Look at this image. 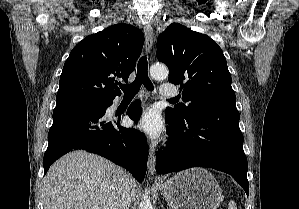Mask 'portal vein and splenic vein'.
<instances>
[{
    "label": "portal vein and splenic vein",
    "instance_id": "portal-vein-and-splenic-vein-1",
    "mask_svg": "<svg viewBox=\"0 0 299 209\" xmlns=\"http://www.w3.org/2000/svg\"><path fill=\"white\" fill-rule=\"evenodd\" d=\"M93 209H99V207H94Z\"/></svg>",
    "mask_w": 299,
    "mask_h": 209
}]
</instances>
